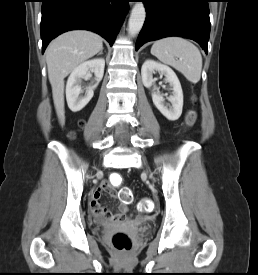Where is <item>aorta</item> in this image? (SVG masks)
<instances>
[{
	"label": "aorta",
	"instance_id": "1",
	"mask_svg": "<svg viewBox=\"0 0 258 275\" xmlns=\"http://www.w3.org/2000/svg\"><path fill=\"white\" fill-rule=\"evenodd\" d=\"M146 17L145 7L142 2H137L132 8L129 22H128V32L129 35L134 37L141 30Z\"/></svg>",
	"mask_w": 258,
	"mask_h": 275
}]
</instances>
